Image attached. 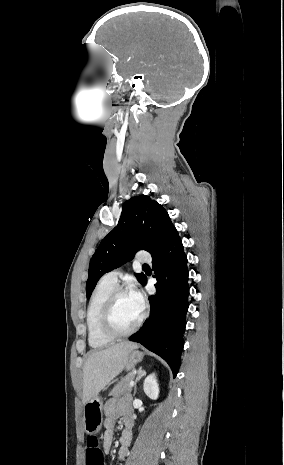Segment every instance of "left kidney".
<instances>
[{"label":"left kidney","mask_w":284,"mask_h":465,"mask_svg":"<svg viewBox=\"0 0 284 465\" xmlns=\"http://www.w3.org/2000/svg\"><path fill=\"white\" fill-rule=\"evenodd\" d=\"M144 393L149 397V399H158L159 395V385L157 383V379L153 373V375H148L144 381L143 385Z\"/></svg>","instance_id":"1"}]
</instances>
